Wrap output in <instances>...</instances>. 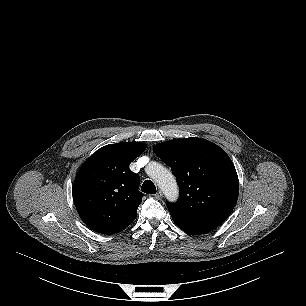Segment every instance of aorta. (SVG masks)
Returning <instances> with one entry per match:
<instances>
[{
  "instance_id": "aorta-1",
  "label": "aorta",
  "mask_w": 306,
  "mask_h": 306,
  "mask_svg": "<svg viewBox=\"0 0 306 306\" xmlns=\"http://www.w3.org/2000/svg\"><path fill=\"white\" fill-rule=\"evenodd\" d=\"M149 176L154 179L169 201H175L179 195L178 185L173 174L161 164L153 162L150 165Z\"/></svg>"
}]
</instances>
